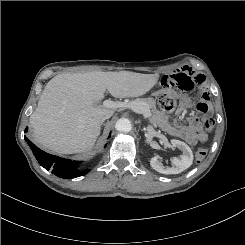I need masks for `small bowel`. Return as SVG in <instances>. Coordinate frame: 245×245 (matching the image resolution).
Masks as SVG:
<instances>
[{"instance_id":"c3829d8e","label":"small bowel","mask_w":245,"mask_h":245,"mask_svg":"<svg viewBox=\"0 0 245 245\" xmlns=\"http://www.w3.org/2000/svg\"><path fill=\"white\" fill-rule=\"evenodd\" d=\"M158 85L163 90H168L172 86H177L182 91H189L192 88H199L203 90L206 85L205 77L192 70L189 67H182L170 75H163L158 80ZM185 108V102L179 105L178 113H182ZM197 110L201 114L209 112V105L207 103L206 93H203V100L196 105ZM158 125L167 134L179 137L190 145H195L199 141H204L206 135L202 133V119L197 116H189L188 124L173 123L168 121L165 113L160 112L156 116Z\"/></svg>"}]
</instances>
